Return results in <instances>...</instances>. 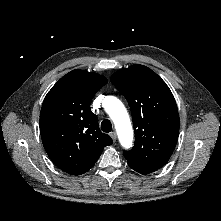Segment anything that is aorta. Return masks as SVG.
Listing matches in <instances>:
<instances>
[{"label": "aorta", "mask_w": 221, "mask_h": 221, "mask_svg": "<svg viewBox=\"0 0 221 221\" xmlns=\"http://www.w3.org/2000/svg\"><path fill=\"white\" fill-rule=\"evenodd\" d=\"M103 107L114 122L121 145L124 148H130L133 142V130L125 106L118 98L106 96Z\"/></svg>", "instance_id": "1"}]
</instances>
